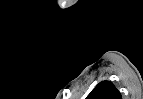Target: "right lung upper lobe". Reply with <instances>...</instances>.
Masks as SVG:
<instances>
[{
    "instance_id": "cb5924a9",
    "label": "right lung upper lobe",
    "mask_w": 143,
    "mask_h": 99,
    "mask_svg": "<svg viewBox=\"0 0 143 99\" xmlns=\"http://www.w3.org/2000/svg\"><path fill=\"white\" fill-rule=\"evenodd\" d=\"M86 99H122V97L111 81H102L91 91Z\"/></svg>"
}]
</instances>
